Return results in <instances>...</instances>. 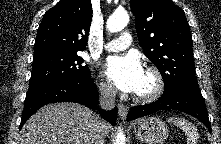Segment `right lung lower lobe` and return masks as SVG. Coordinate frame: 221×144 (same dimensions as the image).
I'll return each instance as SVG.
<instances>
[{
	"label": "right lung lower lobe",
	"mask_w": 221,
	"mask_h": 144,
	"mask_svg": "<svg viewBox=\"0 0 221 144\" xmlns=\"http://www.w3.org/2000/svg\"><path fill=\"white\" fill-rule=\"evenodd\" d=\"M98 91L92 78L87 81H59L26 95L20 128L42 106L57 102H74L97 108ZM104 119L115 125L117 108L99 111Z\"/></svg>",
	"instance_id": "98d812e1"
}]
</instances>
